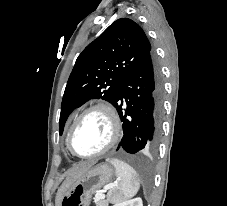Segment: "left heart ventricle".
I'll use <instances>...</instances> for the list:
<instances>
[{
	"mask_svg": "<svg viewBox=\"0 0 227 206\" xmlns=\"http://www.w3.org/2000/svg\"><path fill=\"white\" fill-rule=\"evenodd\" d=\"M111 136L107 116L101 111L87 114L78 124L72 137V148L80 155H88L102 149Z\"/></svg>",
	"mask_w": 227,
	"mask_h": 206,
	"instance_id": "1",
	"label": "left heart ventricle"
}]
</instances>
